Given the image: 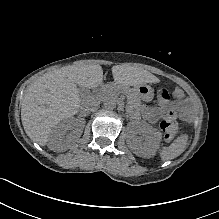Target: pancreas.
<instances>
[{"label":"pancreas","mask_w":219,"mask_h":219,"mask_svg":"<svg viewBox=\"0 0 219 219\" xmlns=\"http://www.w3.org/2000/svg\"><path fill=\"white\" fill-rule=\"evenodd\" d=\"M103 94L105 95V99L108 100H115L119 94L121 93L122 96L126 97L128 100L127 102V115L130 117L131 120H139L140 119V112L138 110V102L140 101V96L136 94V92L129 87H122L121 90L118 86H106L102 89Z\"/></svg>","instance_id":"pancreas-1"}]
</instances>
